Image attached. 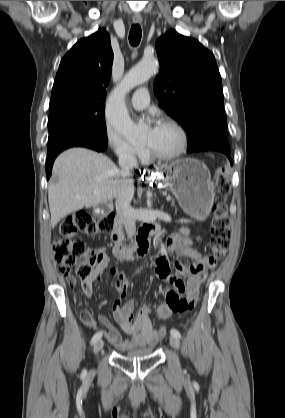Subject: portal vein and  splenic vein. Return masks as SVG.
<instances>
[{
  "mask_svg": "<svg viewBox=\"0 0 285 418\" xmlns=\"http://www.w3.org/2000/svg\"><path fill=\"white\" fill-rule=\"evenodd\" d=\"M171 200V198L170 197H167V201H170Z\"/></svg>",
  "mask_w": 285,
  "mask_h": 418,
  "instance_id": "1",
  "label": "portal vein and splenic vein"
}]
</instances>
